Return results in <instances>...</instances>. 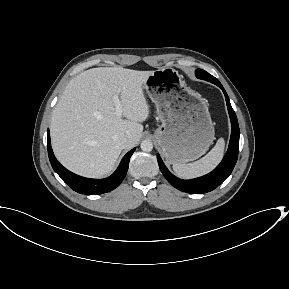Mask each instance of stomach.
Here are the masks:
<instances>
[{"mask_svg":"<svg viewBox=\"0 0 289 289\" xmlns=\"http://www.w3.org/2000/svg\"><path fill=\"white\" fill-rule=\"evenodd\" d=\"M144 88L162 123L154 135L166 161L187 163L201 157L215 135L205 99L187 87L178 71L170 67L154 71Z\"/></svg>","mask_w":289,"mask_h":289,"instance_id":"0dacf381","label":"stomach"}]
</instances>
